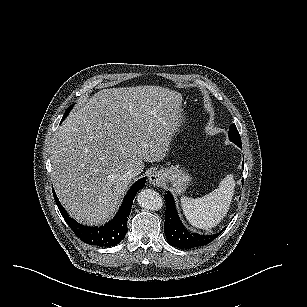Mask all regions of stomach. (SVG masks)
<instances>
[{"instance_id":"obj_1","label":"stomach","mask_w":307,"mask_h":307,"mask_svg":"<svg viewBox=\"0 0 307 307\" xmlns=\"http://www.w3.org/2000/svg\"><path fill=\"white\" fill-rule=\"evenodd\" d=\"M161 183H169L176 195H181L192 185L194 178L187 167L172 164L155 172Z\"/></svg>"}]
</instances>
